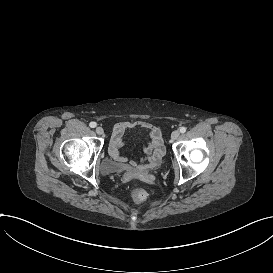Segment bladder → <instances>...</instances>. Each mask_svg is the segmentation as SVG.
Segmentation results:
<instances>
[{
  "mask_svg": "<svg viewBox=\"0 0 273 273\" xmlns=\"http://www.w3.org/2000/svg\"><path fill=\"white\" fill-rule=\"evenodd\" d=\"M101 170L105 175H113L126 170L125 165L112 158H106L101 164Z\"/></svg>",
  "mask_w": 273,
  "mask_h": 273,
  "instance_id": "bladder-1",
  "label": "bladder"
}]
</instances>
